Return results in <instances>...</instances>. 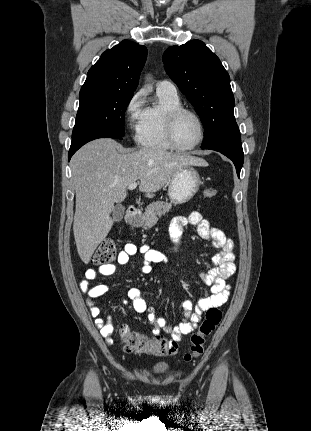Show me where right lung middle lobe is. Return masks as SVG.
Returning <instances> with one entry per match:
<instances>
[{
	"instance_id": "obj_1",
	"label": "right lung middle lobe",
	"mask_w": 311,
	"mask_h": 431,
	"mask_svg": "<svg viewBox=\"0 0 311 431\" xmlns=\"http://www.w3.org/2000/svg\"><path fill=\"white\" fill-rule=\"evenodd\" d=\"M132 97L133 94L101 90L80 92L72 138L93 130L124 136V114Z\"/></svg>"
}]
</instances>
